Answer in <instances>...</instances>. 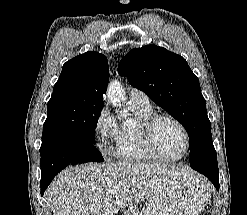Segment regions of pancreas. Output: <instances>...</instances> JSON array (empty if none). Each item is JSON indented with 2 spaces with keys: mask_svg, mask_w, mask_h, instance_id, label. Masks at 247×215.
<instances>
[{
  "mask_svg": "<svg viewBox=\"0 0 247 215\" xmlns=\"http://www.w3.org/2000/svg\"><path fill=\"white\" fill-rule=\"evenodd\" d=\"M139 213V208L137 206H133L125 212V215H138Z\"/></svg>",
  "mask_w": 247,
  "mask_h": 215,
  "instance_id": "cf45deb5",
  "label": "pancreas"
}]
</instances>
